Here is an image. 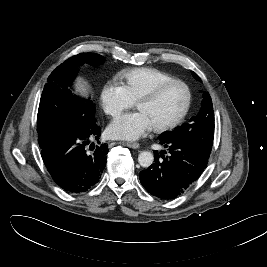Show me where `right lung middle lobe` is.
<instances>
[{
  "label": "right lung middle lobe",
  "mask_w": 267,
  "mask_h": 267,
  "mask_svg": "<svg viewBox=\"0 0 267 267\" xmlns=\"http://www.w3.org/2000/svg\"><path fill=\"white\" fill-rule=\"evenodd\" d=\"M102 62L99 54L81 53L67 59L48 77L37 116L40 148L63 132L86 130L96 123L92 100L72 93L71 83L78 66Z\"/></svg>",
  "instance_id": "right-lung-middle-lobe-1"
}]
</instances>
